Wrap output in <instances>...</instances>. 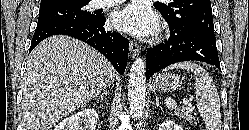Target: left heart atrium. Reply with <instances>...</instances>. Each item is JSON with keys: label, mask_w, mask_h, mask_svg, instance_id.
<instances>
[{"label": "left heart atrium", "mask_w": 249, "mask_h": 130, "mask_svg": "<svg viewBox=\"0 0 249 130\" xmlns=\"http://www.w3.org/2000/svg\"><path fill=\"white\" fill-rule=\"evenodd\" d=\"M113 26L138 37L154 34L158 28L155 14L143 0H136L117 11L112 17Z\"/></svg>", "instance_id": "1"}]
</instances>
